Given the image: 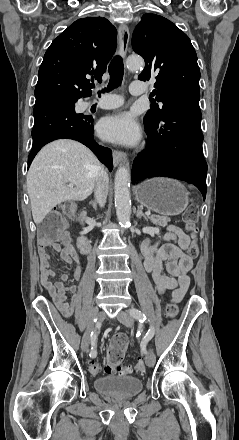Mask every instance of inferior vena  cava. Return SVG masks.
I'll return each mask as SVG.
<instances>
[{
	"instance_id": "inferior-vena-cava-1",
	"label": "inferior vena cava",
	"mask_w": 239,
	"mask_h": 440,
	"mask_svg": "<svg viewBox=\"0 0 239 440\" xmlns=\"http://www.w3.org/2000/svg\"><path fill=\"white\" fill-rule=\"evenodd\" d=\"M97 176L98 178H96L94 194L96 202H98L99 206L103 208L108 196L109 178L107 172H105L103 168H99Z\"/></svg>"
}]
</instances>
